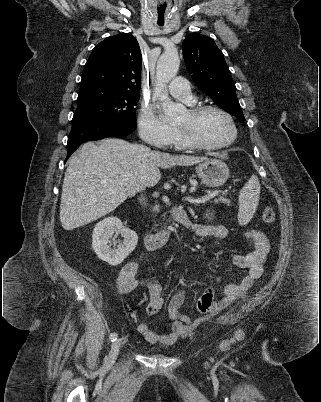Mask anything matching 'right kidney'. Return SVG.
I'll return each mask as SVG.
<instances>
[{
  "label": "right kidney",
  "instance_id": "right-kidney-1",
  "mask_svg": "<svg viewBox=\"0 0 321 402\" xmlns=\"http://www.w3.org/2000/svg\"><path fill=\"white\" fill-rule=\"evenodd\" d=\"M114 233H119L124 237L116 248H111L109 243ZM138 242L137 234L123 226L117 217H108L98 222L92 234V248L98 258L107 262L109 265L120 264L136 247Z\"/></svg>",
  "mask_w": 321,
  "mask_h": 402
}]
</instances>
